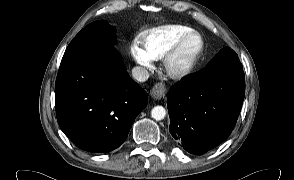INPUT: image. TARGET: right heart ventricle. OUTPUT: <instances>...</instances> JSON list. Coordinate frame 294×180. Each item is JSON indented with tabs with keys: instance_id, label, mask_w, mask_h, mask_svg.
<instances>
[{
	"instance_id": "1",
	"label": "right heart ventricle",
	"mask_w": 294,
	"mask_h": 180,
	"mask_svg": "<svg viewBox=\"0 0 294 180\" xmlns=\"http://www.w3.org/2000/svg\"><path fill=\"white\" fill-rule=\"evenodd\" d=\"M191 31V28L184 25H163L141 31L138 40L147 54L157 60L163 58L179 39Z\"/></svg>"
}]
</instances>
